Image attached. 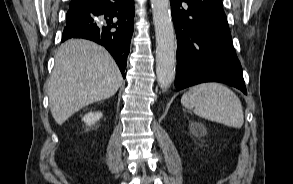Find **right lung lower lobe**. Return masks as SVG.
Masks as SVG:
<instances>
[{
	"label": "right lung lower lobe",
	"mask_w": 293,
	"mask_h": 184,
	"mask_svg": "<svg viewBox=\"0 0 293 184\" xmlns=\"http://www.w3.org/2000/svg\"><path fill=\"white\" fill-rule=\"evenodd\" d=\"M134 0H91L70 6L62 42L85 38L103 45L123 78L133 32Z\"/></svg>",
	"instance_id": "98d812e1"
}]
</instances>
